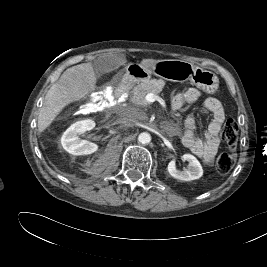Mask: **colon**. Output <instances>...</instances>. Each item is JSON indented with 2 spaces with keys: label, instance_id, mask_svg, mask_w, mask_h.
<instances>
[{
  "label": "colon",
  "instance_id": "5ec220e1",
  "mask_svg": "<svg viewBox=\"0 0 267 267\" xmlns=\"http://www.w3.org/2000/svg\"><path fill=\"white\" fill-rule=\"evenodd\" d=\"M221 136L231 152L219 155L216 160V169L218 172L226 174L233 168L236 161L233 151L236 149L238 140V125L235 120L228 119L224 123Z\"/></svg>",
  "mask_w": 267,
  "mask_h": 267
}]
</instances>
